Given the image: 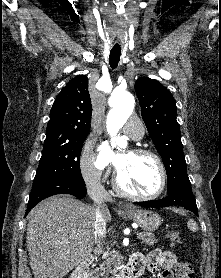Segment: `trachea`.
I'll use <instances>...</instances> for the list:
<instances>
[{"label":"trachea","mask_w":221,"mask_h":278,"mask_svg":"<svg viewBox=\"0 0 221 278\" xmlns=\"http://www.w3.org/2000/svg\"><path fill=\"white\" fill-rule=\"evenodd\" d=\"M121 56V48L113 47L109 55V64L112 69H115L118 66Z\"/></svg>","instance_id":"3493384b"}]
</instances>
